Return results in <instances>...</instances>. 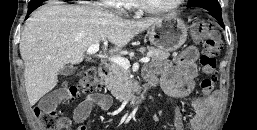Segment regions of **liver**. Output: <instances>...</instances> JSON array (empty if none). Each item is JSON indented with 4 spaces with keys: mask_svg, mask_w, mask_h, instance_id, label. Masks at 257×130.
I'll list each match as a JSON object with an SVG mask.
<instances>
[{
    "mask_svg": "<svg viewBox=\"0 0 257 130\" xmlns=\"http://www.w3.org/2000/svg\"><path fill=\"white\" fill-rule=\"evenodd\" d=\"M158 20H125L101 9L57 1L41 6L26 21L19 45L30 105L57 85L61 68L82 62L91 45L106 39L115 46L110 52H118Z\"/></svg>",
    "mask_w": 257,
    "mask_h": 130,
    "instance_id": "6515ba94",
    "label": "liver"
}]
</instances>
